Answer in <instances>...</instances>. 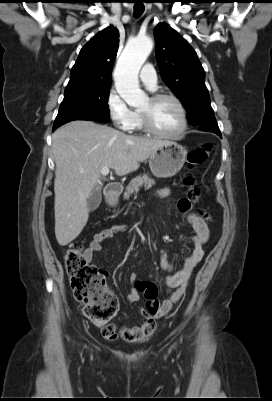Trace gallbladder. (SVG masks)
<instances>
[{
  "label": "gallbladder",
  "instance_id": "bac80fb5",
  "mask_svg": "<svg viewBox=\"0 0 272 401\" xmlns=\"http://www.w3.org/2000/svg\"><path fill=\"white\" fill-rule=\"evenodd\" d=\"M102 200V194L101 191L99 189L95 190L88 198L87 201V207L89 211H94L96 210Z\"/></svg>",
  "mask_w": 272,
  "mask_h": 401
}]
</instances>
